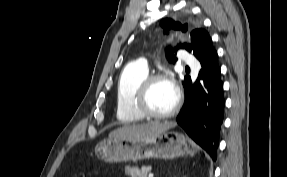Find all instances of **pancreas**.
I'll return each instance as SVG.
<instances>
[{
    "label": "pancreas",
    "mask_w": 287,
    "mask_h": 177,
    "mask_svg": "<svg viewBox=\"0 0 287 177\" xmlns=\"http://www.w3.org/2000/svg\"><path fill=\"white\" fill-rule=\"evenodd\" d=\"M151 170L152 168L150 166H143L141 169L127 166L125 167V174L130 177H147Z\"/></svg>",
    "instance_id": "cf45deb5"
}]
</instances>
